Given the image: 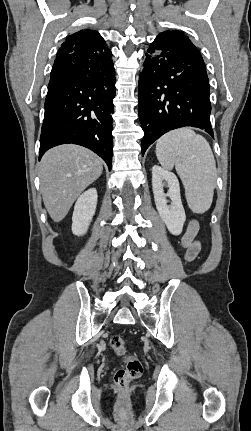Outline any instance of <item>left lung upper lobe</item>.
Returning a JSON list of instances; mask_svg holds the SVG:
<instances>
[{
  "mask_svg": "<svg viewBox=\"0 0 251 431\" xmlns=\"http://www.w3.org/2000/svg\"><path fill=\"white\" fill-rule=\"evenodd\" d=\"M163 33H168V34H175V35H184L182 32H180V31H165V32H163Z\"/></svg>",
  "mask_w": 251,
  "mask_h": 431,
  "instance_id": "obj_1",
  "label": "left lung upper lobe"
}]
</instances>
